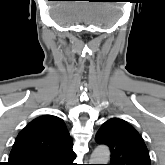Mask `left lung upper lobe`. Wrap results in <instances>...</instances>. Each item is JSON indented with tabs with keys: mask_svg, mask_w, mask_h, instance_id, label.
Instances as JSON below:
<instances>
[{
	"mask_svg": "<svg viewBox=\"0 0 165 165\" xmlns=\"http://www.w3.org/2000/svg\"><path fill=\"white\" fill-rule=\"evenodd\" d=\"M95 140L110 147L109 165H151L142 137L122 119H108L97 132Z\"/></svg>",
	"mask_w": 165,
	"mask_h": 165,
	"instance_id": "left-lung-upper-lobe-1",
	"label": "left lung upper lobe"
}]
</instances>
